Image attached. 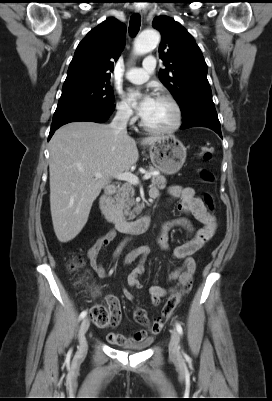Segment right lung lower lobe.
Listing matches in <instances>:
<instances>
[{"label":"right lung lower lobe","instance_id":"obj_1","mask_svg":"<svg viewBox=\"0 0 272 401\" xmlns=\"http://www.w3.org/2000/svg\"><path fill=\"white\" fill-rule=\"evenodd\" d=\"M112 113V112H111ZM111 113H98L94 111H81V112H75L57 119H53L52 124H51V129L48 137V141L54 134L55 130H57L59 127L66 123L70 122H75V121H91V122H97V123H103L105 122Z\"/></svg>","mask_w":272,"mask_h":401}]
</instances>
